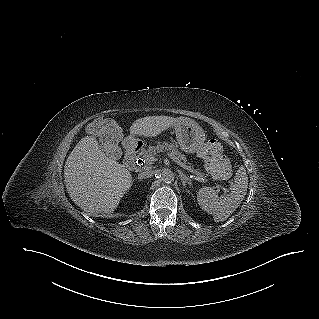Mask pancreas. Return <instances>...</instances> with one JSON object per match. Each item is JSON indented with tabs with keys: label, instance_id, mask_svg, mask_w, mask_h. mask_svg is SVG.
<instances>
[{
	"label": "pancreas",
	"instance_id": "obj_1",
	"mask_svg": "<svg viewBox=\"0 0 319 319\" xmlns=\"http://www.w3.org/2000/svg\"><path fill=\"white\" fill-rule=\"evenodd\" d=\"M161 152H170L174 156H176L179 160H182L183 163H186V158L183 154L178 149V145L174 143H158L156 146H150L142 155L143 160L145 161L146 165H150L153 162H150L149 159L150 157H154ZM196 171V170H195ZM200 176L206 178V175L196 171Z\"/></svg>",
	"mask_w": 319,
	"mask_h": 319
}]
</instances>
